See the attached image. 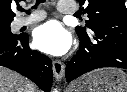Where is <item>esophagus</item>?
<instances>
[{
  "mask_svg": "<svg viewBox=\"0 0 127 92\" xmlns=\"http://www.w3.org/2000/svg\"><path fill=\"white\" fill-rule=\"evenodd\" d=\"M53 73L56 81H61L64 76V64L58 60L52 61Z\"/></svg>",
  "mask_w": 127,
  "mask_h": 92,
  "instance_id": "1",
  "label": "esophagus"
}]
</instances>
